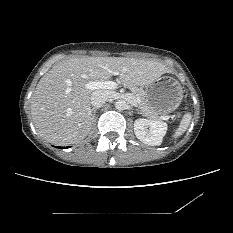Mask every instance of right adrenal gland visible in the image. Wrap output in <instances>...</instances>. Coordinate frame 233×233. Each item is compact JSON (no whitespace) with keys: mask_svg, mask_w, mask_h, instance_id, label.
I'll return each mask as SVG.
<instances>
[{"mask_svg":"<svg viewBox=\"0 0 233 233\" xmlns=\"http://www.w3.org/2000/svg\"><path fill=\"white\" fill-rule=\"evenodd\" d=\"M97 109H98V108H92V109H91V111H92V118H93V119L95 118Z\"/></svg>","mask_w":233,"mask_h":233,"instance_id":"1","label":"right adrenal gland"}]
</instances>
